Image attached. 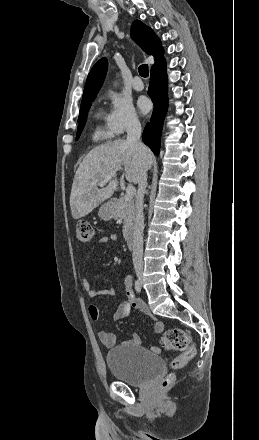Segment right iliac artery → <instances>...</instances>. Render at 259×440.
<instances>
[{"mask_svg":"<svg viewBox=\"0 0 259 440\" xmlns=\"http://www.w3.org/2000/svg\"><path fill=\"white\" fill-rule=\"evenodd\" d=\"M135 289L138 293L141 291V284L138 280L135 281Z\"/></svg>","mask_w":259,"mask_h":440,"instance_id":"1","label":"right iliac artery"}]
</instances>
